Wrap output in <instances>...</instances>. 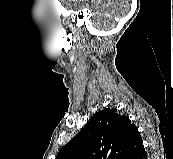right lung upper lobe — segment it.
Returning <instances> with one entry per match:
<instances>
[{
    "mask_svg": "<svg viewBox=\"0 0 173 159\" xmlns=\"http://www.w3.org/2000/svg\"><path fill=\"white\" fill-rule=\"evenodd\" d=\"M144 149L137 127L116 109H103L58 153L56 159H135Z\"/></svg>",
    "mask_w": 173,
    "mask_h": 159,
    "instance_id": "obj_1",
    "label": "right lung upper lobe"
}]
</instances>
